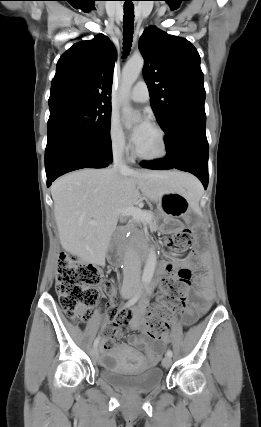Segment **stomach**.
Masks as SVG:
<instances>
[{"instance_id":"obj_1","label":"stomach","mask_w":261,"mask_h":427,"mask_svg":"<svg viewBox=\"0 0 261 427\" xmlns=\"http://www.w3.org/2000/svg\"><path fill=\"white\" fill-rule=\"evenodd\" d=\"M191 201L184 192L173 191L165 193L157 201V211L160 217H181L190 210Z\"/></svg>"}]
</instances>
